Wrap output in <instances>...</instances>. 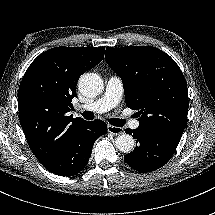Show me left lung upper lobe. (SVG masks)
Returning <instances> with one entry per match:
<instances>
[{
  "label": "left lung upper lobe",
  "instance_id": "1",
  "mask_svg": "<svg viewBox=\"0 0 215 215\" xmlns=\"http://www.w3.org/2000/svg\"><path fill=\"white\" fill-rule=\"evenodd\" d=\"M106 61L121 77L126 105L140 127L184 130L189 107L186 80L177 63L151 46L107 47Z\"/></svg>",
  "mask_w": 215,
  "mask_h": 215
}]
</instances>
